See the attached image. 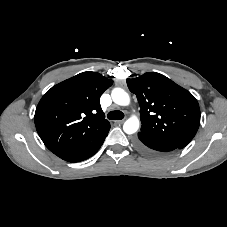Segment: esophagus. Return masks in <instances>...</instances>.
<instances>
[{
  "label": "esophagus",
  "instance_id": "esophagus-1",
  "mask_svg": "<svg viewBox=\"0 0 227 227\" xmlns=\"http://www.w3.org/2000/svg\"><path fill=\"white\" fill-rule=\"evenodd\" d=\"M125 120H126V119L117 120V121H115V123L120 125V124L124 123V122H125Z\"/></svg>",
  "mask_w": 227,
  "mask_h": 227
}]
</instances>
